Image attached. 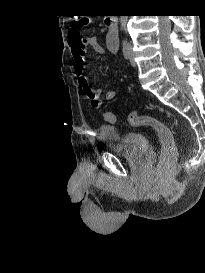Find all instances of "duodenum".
<instances>
[{"label":"duodenum","mask_w":205,"mask_h":273,"mask_svg":"<svg viewBox=\"0 0 205 273\" xmlns=\"http://www.w3.org/2000/svg\"><path fill=\"white\" fill-rule=\"evenodd\" d=\"M118 18L116 16H108L105 20L106 26L115 33L117 27Z\"/></svg>","instance_id":"obj_1"}]
</instances>
